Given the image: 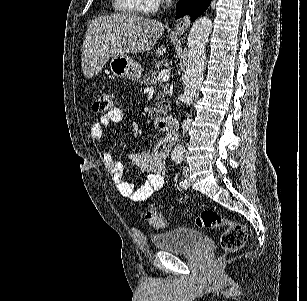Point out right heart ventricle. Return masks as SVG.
I'll list each match as a JSON object with an SVG mask.
<instances>
[{
	"mask_svg": "<svg viewBox=\"0 0 307 301\" xmlns=\"http://www.w3.org/2000/svg\"><path fill=\"white\" fill-rule=\"evenodd\" d=\"M119 4V13L138 12V8H143V0H115Z\"/></svg>",
	"mask_w": 307,
	"mask_h": 301,
	"instance_id": "1",
	"label": "right heart ventricle"
}]
</instances>
